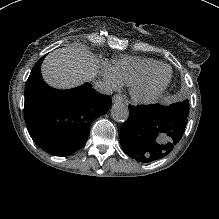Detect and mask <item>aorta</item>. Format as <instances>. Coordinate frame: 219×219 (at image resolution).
Segmentation results:
<instances>
[{
  "instance_id": "1",
  "label": "aorta",
  "mask_w": 219,
  "mask_h": 219,
  "mask_svg": "<svg viewBox=\"0 0 219 219\" xmlns=\"http://www.w3.org/2000/svg\"><path fill=\"white\" fill-rule=\"evenodd\" d=\"M111 118L116 122H125L129 117V109L122 102H115L111 109Z\"/></svg>"
}]
</instances>
